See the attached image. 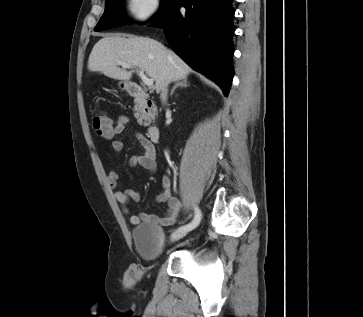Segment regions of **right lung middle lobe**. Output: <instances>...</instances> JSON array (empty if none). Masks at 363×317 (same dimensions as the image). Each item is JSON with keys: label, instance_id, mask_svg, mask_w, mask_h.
<instances>
[{"label": "right lung middle lobe", "instance_id": "dd1d6c3e", "mask_svg": "<svg viewBox=\"0 0 363 317\" xmlns=\"http://www.w3.org/2000/svg\"><path fill=\"white\" fill-rule=\"evenodd\" d=\"M173 0H162V5L158 13L151 21L158 19L169 7ZM123 0H106L105 11L100 21L95 27V31H102L117 26H121L126 22L125 14L122 10Z\"/></svg>", "mask_w": 363, "mask_h": 317}]
</instances>
